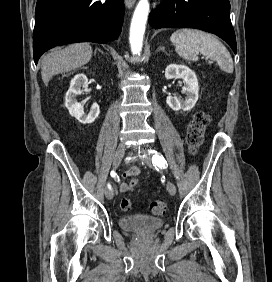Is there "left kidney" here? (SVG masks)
Here are the masks:
<instances>
[{
    "label": "left kidney",
    "mask_w": 272,
    "mask_h": 282,
    "mask_svg": "<svg viewBox=\"0 0 272 282\" xmlns=\"http://www.w3.org/2000/svg\"><path fill=\"white\" fill-rule=\"evenodd\" d=\"M165 78L167 80L181 78L185 82L182 92L186 94L185 99L169 95L166 98L167 105L174 111L191 110L198 100L199 92L198 80L195 73L185 65L170 64L165 69Z\"/></svg>",
    "instance_id": "left-kidney-1"
}]
</instances>
